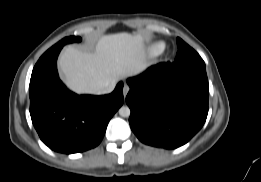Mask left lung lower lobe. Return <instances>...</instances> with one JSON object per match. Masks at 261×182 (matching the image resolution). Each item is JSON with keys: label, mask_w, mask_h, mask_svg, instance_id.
I'll return each mask as SVG.
<instances>
[{"label": "left lung lower lobe", "mask_w": 261, "mask_h": 182, "mask_svg": "<svg viewBox=\"0 0 261 182\" xmlns=\"http://www.w3.org/2000/svg\"><path fill=\"white\" fill-rule=\"evenodd\" d=\"M127 82L129 123L141 142L175 149L205 123L209 99L205 63H159Z\"/></svg>", "instance_id": "0a47b994"}]
</instances>
